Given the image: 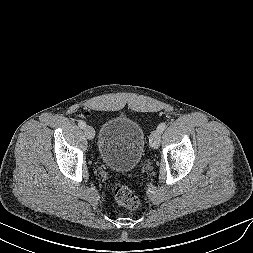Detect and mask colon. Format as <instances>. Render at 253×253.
<instances>
[{
  "mask_svg": "<svg viewBox=\"0 0 253 253\" xmlns=\"http://www.w3.org/2000/svg\"><path fill=\"white\" fill-rule=\"evenodd\" d=\"M114 197L119 205L128 209H135L139 205L138 195L127 185L117 186L114 191Z\"/></svg>",
  "mask_w": 253,
  "mask_h": 253,
  "instance_id": "obj_1",
  "label": "colon"
}]
</instances>
